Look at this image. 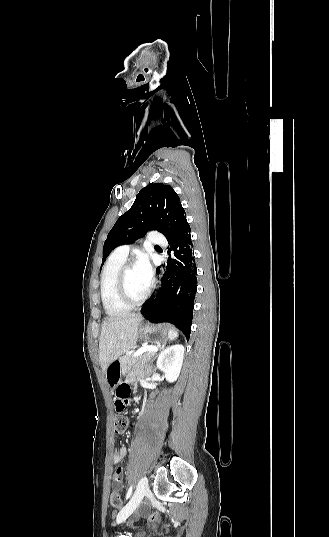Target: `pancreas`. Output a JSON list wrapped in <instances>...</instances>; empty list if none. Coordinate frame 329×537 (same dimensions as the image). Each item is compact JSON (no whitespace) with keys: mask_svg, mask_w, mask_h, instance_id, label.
Returning a JSON list of instances; mask_svg holds the SVG:
<instances>
[{"mask_svg":"<svg viewBox=\"0 0 329 537\" xmlns=\"http://www.w3.org/2000/svg\"><path fill=\"white\" fill-rule=\"evenodd\" d=\"M153 353V351H147L136 358H133V353H125V355L121 358L122 371L129 370L136 362H146L153 355Z\"/></svg>","mask_w":329,"mask_h":537,"instance_id":"1","label":"pancreas"}]
</instances>
